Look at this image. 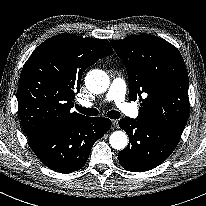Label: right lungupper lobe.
Returning <instances> with one entry per match:
<instances>
[{"label": "right lung upper lobe", "instance_id": "cb5924a9", "mask_svg": "<svg viewBox=\"0 0 206 206\" xmlns=\"http://www.w3.org/2000/svg\"><path fill=\"white\" fill-rule=\"evenodd\" d=\"M106 39L60 34L44 41L25 63L18 85V112L28 139L66 129L86 116L72 112L83 72L112 55Z\"/></svg>", "mask_w": 206, "mask_h": 206}]
</instances>
